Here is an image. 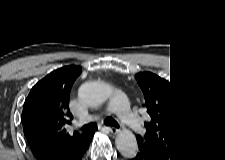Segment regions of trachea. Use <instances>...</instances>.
Instances as JSON below:
<instances>
[{
    "label": "trachea",
    "instance_id": "obj_1",
    "mask_svg": "<svg viewBox=\"0 0 225 160\" xmlns=\"http://www.w3.org/2000/svg\"><path fill=\"white\" fill-rule=\"evenodd\" d=\"M104 124L105 125H110L113 127H117V123L115 122L114 119L110 118V117H105L104 118ZM97 127V123L96 122H90L89 124L83 126L80 130L82 132H86L92 129H95Z\"/></svg>",
    "mask_w": 225,
    "mask_h": 160
}]
</instances>
